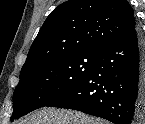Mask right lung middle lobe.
Returning a JSON list of instances; mask_svg holds the SVG:
<instances>
[{"label": "right lung middle lobe", "instance_id": "right-lung-middle-lobe-1", "mask_svg": "<svg viewBox=\"0 0 145 124\" xmlns=\"http://www.w3.org/2000/svg\"><path fill=\"white\" fill-rule=\"evenodd\" d=\"M99 53L81 52L52 59L20 76L13 94L11 121L46 106L78 84Z\"/></svg>", "mask_w": 145, "mask_h": 124}]
</instances>
